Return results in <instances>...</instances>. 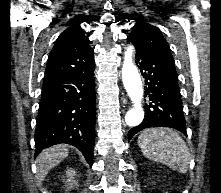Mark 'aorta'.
Here are the masks:
<instances>
[{
    "label": "aorta",
    "mask_w": 221,
    "mask_h": 193,
    "mask_svg": "<svg viewBox=\"0 0 221 193\" xmlns=\"http://www.w3.org/2000/svg\"><path fill=\"white\" fill-rule=\"evenodd\" d=\"M133 46H128L124 54L122 79L124 87L133 103V108L125 115V122L129 126L139 125L144 118L142 108L143 86L136 66L133 63Z\"/></svg>",
    "instance_id": "762f6f07"
}]
</instances>
